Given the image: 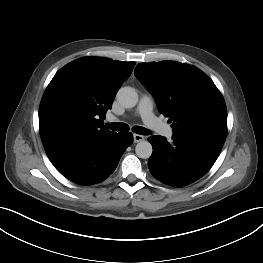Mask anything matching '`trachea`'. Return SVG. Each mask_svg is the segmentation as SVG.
<instances>
[{
	"label": "trachea",
	"mask_w": 263,
	"mask_h": 263,
	"mask_svg": "<svg viewBox=\"0 0 263 263\" xmlns=\"http://www.w3.org/2000/svg\"><path fill=\"white\" fill-rule=\"evenodd\" d=\"M107 126L109 129H111L113 131H126V130H128V125L125 123H120V122L108 123ZM132 130H133V132L140 134V135H149L150 134L149 130H147L141 126H134L132 128Z\"/></svg>",
	"instance_id": "3493384b"
}]
</instances>
